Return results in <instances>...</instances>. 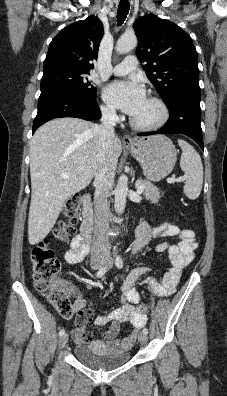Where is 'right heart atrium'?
I'll list each match as a JSON object with an SVG mask.
<instances>
[{
	"label": "right heart atrium",
	"instance_id": "right-heart-atrium-1",
	"mask_svg": "<svg viewBox=\"0 0 227 396\" xmlns=\"http://www.w3.org/2000/svg\"><path fill=\"white\" fill-rule=\"evenodd\" d=\"M101 112L102 115L109 120H116L118 118L115 109L110 105H102Z\"/></svg>",
	"mask_w": 227,
	"mask_h": 396
}]
</instances>
